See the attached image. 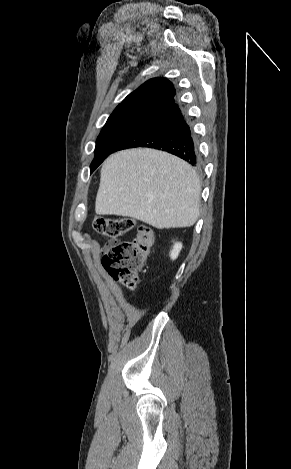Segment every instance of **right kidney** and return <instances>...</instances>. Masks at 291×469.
I'll return each instance as SVG.
<instances>
[{
  "mask_svg": "<svg viewBox=\"0 0 291 469\" xmlns=\"http://www.w3.org/2000/svg\"><path fill=\"white\" fill-rule=\"evenodd\" d=\"M181 249H182V243L176 242L173 246V249L170 252V258L172 260H175L178 257Z\"/></svg>",
  "mask_w": 291,
  "mask_h": 469,
  "instance_id": "right-kidney-1",
  "label": "right kidney"
}]
</instances>
